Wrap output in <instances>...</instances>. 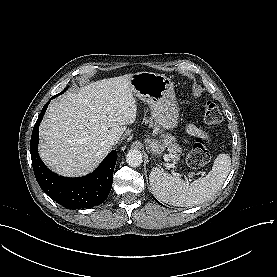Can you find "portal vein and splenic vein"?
Wrapping results in <instances>:
<instances>
[{
	"label": "portal vein and splenic vein",
	"instance_id": "18ae733b",
	"mask_svg": "<svg viewBox=\"0 0 277 277\" xmlns=\"http://www.w3.org/2000/svg\"><path fill=\"white\" fill-rule=\"evenodd\" d=\"M164 160H165L166 162H169V161H170L169 155H165ZM168 165H169V167H173V166H174V164H171V163H168ZM186 179H187V178H186Z\"/></svg>",
	"mask_w": 277,
	"mask_h": 277
}]
</instances>
